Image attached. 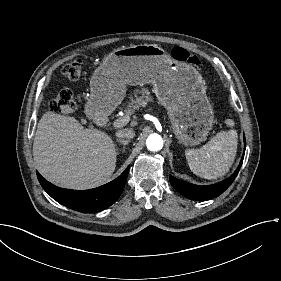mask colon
I'll return each mask as SVG.
<instances>
[{
    "instance_id": "1",
    "label": "colon",
    "mask_w": 281,
    "mask_h": 281,
    "mask_svg": "<svg viewBox=\"0 0 281 281\" xmlns=\"http://www.w3.org/2000/svg\"><path fill=\"white\" fill-rule=\"evenodd\" d=\"M174 59L190 63L192 65H199L200 59L181 47L174 48L172 52ZM84 67V61L81 58L75 59L67 63L62 68V74L69 80H77L81 77ZM75 101L71 91L62 90L51 101L50 108L54 114H68L75 109Z\"/></svg>"
}]
</instances>
